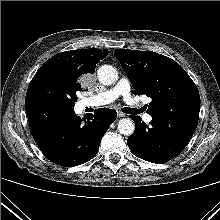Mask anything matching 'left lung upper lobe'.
<instances>
[{
	"label": "left lung upper lobe",
	"instance_id": "obj_1",
	"mask_svg": "<svg viewBox=\"0 0 220 220\" xmlns=\"http://www.w3.org/2000/svg\"><path fill=\"white\" fill-rule=\"evenodd\" d=\"M114 54L132 82L134 94L152 98L147 109L150 115L180 109L200 110L195 83L174 60L152 51L115 49Z\"/></svg>",
	"mask_w": 220,
	"mask_h": 220
}]
</instances>
